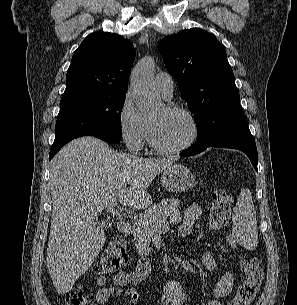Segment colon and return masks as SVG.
<instances>
[{
	"instance_id": "colon-1",
	"label": "colon",
	"mask_w": 297,
	"mask_h": 305,
	"mask_svg": "<svg viewBox=\"0 0 297 305\" xmlns=\"http://www.w3.org/2000/svg\"><path fill=\"white\" fill-rule=\"evenodd\" d=\"M232 207V198L224 190L215 192L210 208V227L214 231H219L227 223ZM127 254L124 239L120 235L112 237L100 256L95 271L103 278L114 275L126 263ZM244 274L242 282L238 285L235 294L228 305H251L256 298L262 281L263 270L261 262L255 257H243L240 261ZM67 305H92L90 296L79 286L66 294Z\"/></svg>"
}]
</instances>
